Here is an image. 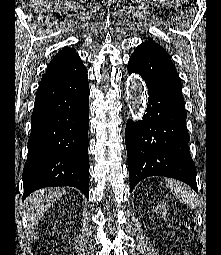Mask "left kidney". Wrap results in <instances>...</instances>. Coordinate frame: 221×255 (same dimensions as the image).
<instances>
[{
	"mask_svg": "<svg viewBox=\"0 0 221 255\" xmlns=\"http://www.w3.org/2000/svg\"><path fill=\"white\" fill-rule=\"evenodd\" d=\"M165 206H166V204H159L157 207H156V211L158 210V209H164V212H162V217L164 216V218H165V216H166V214H167V211H166V208H165Z\"/></svg>",
	"mask_w": 221,
	"mask_h": 255,
	"instance_id": "1",
	"label": "left kidney"
}]
</instances>
